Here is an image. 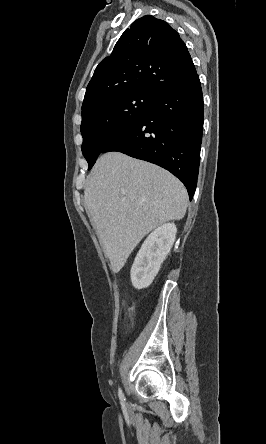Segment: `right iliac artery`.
<instances>
[{
    "label": "right iliac artery",
    "mask_w": 266,
    "mask_h": 444,
    "mask_svg": "<svg viewBox=\"0 0 266 444\" xmlns=\"http://www.w3.org/2000/svg\"><path fill=\"white\" fill-rule=\"evenodd\" d=\"M118 395H119V399H120V401H121V404L124 405V403H125V397H124V394H123V391H122L121 388H119Z\"/></svg>",
    "instance_id": "82829eb1"
}]
</instances>
